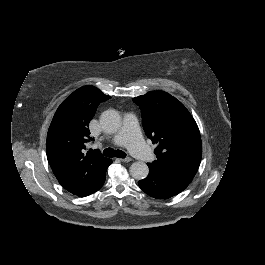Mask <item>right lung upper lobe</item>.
Here are the masks:
<instances>
[{"mask_svg":"<svg viewBox=\"0 0 265 265\" xmlns=\"http://www.w3.org/2000/svg\"><path fill=\"white\" fill-rule=\"evenodd\" d=\"M109 98L94 86L77 89L58 107L48 130L49 165L62 187L80 197L102 186L112 163L98 150L84 153L85 143L89 141V122L98 105Z\"/></svg>","mask_w":265,"mask_h":265,"instance_id":"cb5924a9","label":"right lung upper lobe"}]
</instances>
